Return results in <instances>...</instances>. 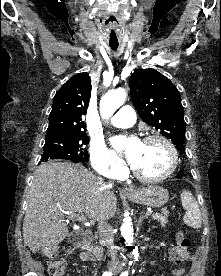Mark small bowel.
<instances>
[{
	"mask_svg": "<svg viewBox=\"0 0 221 276\" xmlns=\"http://www.w3.org/2000/svg\"><path fill=\"white\" fill-rule=\"evenodd\" d=\"M80 257L83 261H91L92 260V258L86 253H82ZM188 259H189V252L187 249H182V248L175 246L174 248H172L170 250L169 260L176 265V267L172 271L173 276H183L184 275L185 268L183 267L182 263L184 261H187Z\"/></svg>",
	"mask_w": 221,
	"mask_h": 276,
	"instance_id": "obj_1",
	"label": "small bowel"
}]
</instances>
